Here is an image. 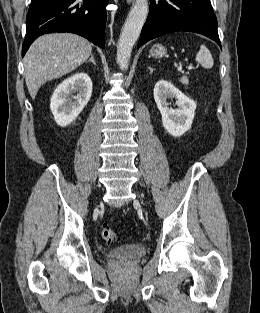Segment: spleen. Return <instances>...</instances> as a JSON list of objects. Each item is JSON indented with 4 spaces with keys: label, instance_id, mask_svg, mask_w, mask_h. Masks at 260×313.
I'll use <instances>...</instances> for the list:
<instances>
[{
    "label": "spleen",
    "instance_id": "1",
    "mask_svg": "<svg viewBox=\"0 0 260 313\" xmlns=\"http://www.w3.org/2000/svg\"><path fill=\"white\" fill-rule=\"evenodd\" d=\"M195 60L198 62V64L206 69L213 67L212 55L205 45H201L200 50L196 54Z\"/></svg>",
    "mask_w": 260,
    "mask_h": 313
}]
</instances>
